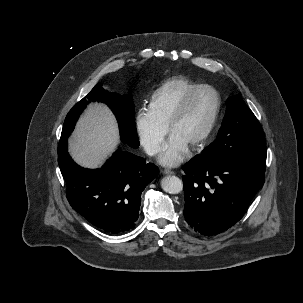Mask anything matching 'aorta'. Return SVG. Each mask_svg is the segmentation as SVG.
Masks as SVG:
<instances>
[{
  "instance_id": "762f6f07",
  "label": "aorta",
  "mask_w": 303,
  "mask_h": 303,
  "mask_svg": "<svg viewBox=\"0 0 303 303\" xmlns=\"http://www.w3.org/2000/svg\"><path fill=\"white\" fill-rule=\"evenodd\" d=\"M161 187L169 194H178L183 190V182L176 176H166L161 180Z\"/></svg>"
}]
</instances>
